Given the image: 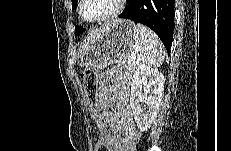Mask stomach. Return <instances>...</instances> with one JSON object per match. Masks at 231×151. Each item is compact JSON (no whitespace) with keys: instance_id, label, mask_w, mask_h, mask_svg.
Wrapping results in <instances>:
<instances>
[{"instance_id":"stomach-1","label":"stomach","mask_w":231,"mask_h":151,"mask_svg":"<svg viewBox=\"0 0 231 151\" xmlns=\"http://www.w3.org/2000/svg\"><path fill=\"white\" fill-rule=\"evenodd\" d=\"M134 42L135 24L130 20L114 21L100 39L81 55L79 66L95 70L122 62L133 52Z\"/></svg>"}]
</instances>
